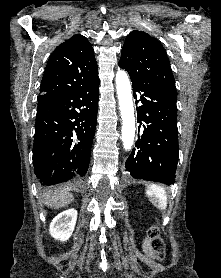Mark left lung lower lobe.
<instances>
[{"instance_id": "left-lung-lower-lobe-1", "label": "left lung lower lobe", "mask_w": 221, "mask_h": 278, "mask_svg": "<svg viewBox=\"0 0 221 278\" xmlns=\"http://www.w3.org/2000/svg\"><path fill=\"white\" fill-rule=\"evenodd\" d=\"M131 81L135 103L142 104L137 107L142 129L125 168L133 178L171 185L179 157L176 95L139 79Z\"/></svg>"}]
</instances>
